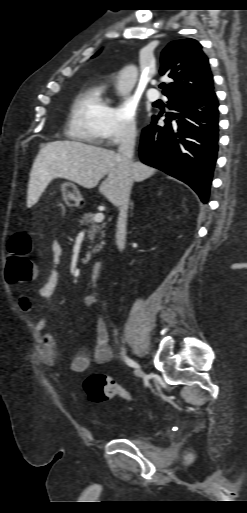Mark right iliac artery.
I'll use <instances>...</instances> for the list:
<instances>
[{
  "label": "right iliac artery",
  "instance_id": "1",
  "mask_svg": "<svg viewBox=\"0 0 247 513\" xmlns=\"http://www.w3.org/2000/svg\"><path fill=\"white\" fill-rule=\"evenodd\" d=\"M123 355H124V360L128 366L133 367V368L139 367V365L134 360L130 359L125 354H123Z\"/></svg>",
  "mask_w": 247,
  "mask_h": 513
}]
</instances>
